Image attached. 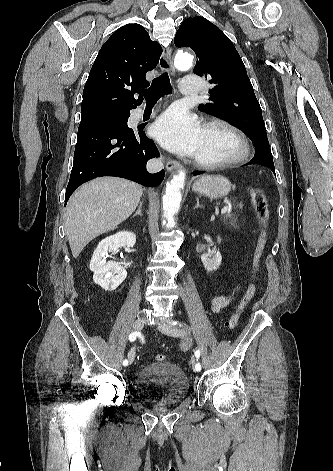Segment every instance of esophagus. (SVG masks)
<instances>
[{"mask_svg": "<svg viewBox=\"0 0 333 471\" xmlns=\"http://www.w3.org/2000/svg\"><path fill=\"white\" fill-rule=\"evenodd\" d=\"M171 48L168 49L166 53H163L159 60V66L163 71H168L171 75L175 74V68L172 63L171 58ZM181 168V164L176 160H167L166 169L171 172Z\"/></svg>", "mask_w": 333, "mask_h": 471, "instance_id": "esophagus-1", "label": "esophagus"}]
</instances>
